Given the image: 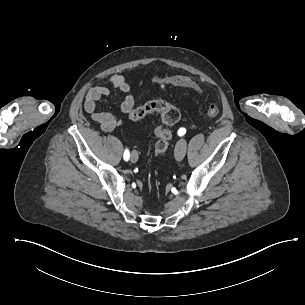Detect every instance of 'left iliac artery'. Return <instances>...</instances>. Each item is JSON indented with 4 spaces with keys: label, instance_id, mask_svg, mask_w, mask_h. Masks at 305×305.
Instances as JSON below:
<instances>
[{
    "label": "left iliac artery",
    "instance_id": "44dca946",
    "mask_svg": "<svg viewBox=\"0 0 305 305\" xmlns=\"http://www.w3.org/2000/svg\"><path fill=\"white\" fill-rule=\"evenodd\" d=\"M186 133V129L185 128H180L179 131H178V134L180 136L184 135Z\"/></svg>",
    "mask_w": 305,
    "mask_h": 305
}]
</instances>
